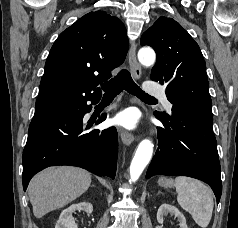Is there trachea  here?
Here are the masks:
<instances>
[{
	"label": "trachea",
	"instance_id": "obj_1",
	"mask_svg": "<svg viewBox=\"0 0 238 228\" xmlns=\"http://www.w3.org/2000/svg\"><path fill=\"white\" fill-rule=\"evenodd\" d=\"M105 95H117L123 90L143 100H156L147 95L132 79L128 70H121L116 77L101 85Z\"/></svg>",
	"mask_w": 238,
	"mask_h": 228
}]
</instances>
